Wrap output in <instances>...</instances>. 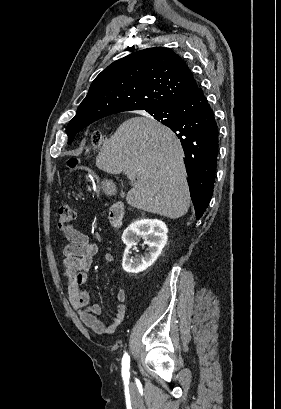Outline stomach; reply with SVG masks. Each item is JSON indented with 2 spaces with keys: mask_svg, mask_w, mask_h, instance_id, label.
I'll list each match as a JSON object with an SVG mask.
<instances>
[{
  "mask_svg": "<svg viewBox=\"0 0 281 409\" xmlns=\"http://www.w3.org/2000/svg\"><path fill=\"white\" fill-rule=\"evenodd\" d=\"M101 188L105 194H115L116 192V184L111 180H103Z\"/></svg>",
  "mask_w": 281,
  "mask_h": 409,
  "instance_id": "0dacf381",
  "label": "stomach"
}]
</instances>
